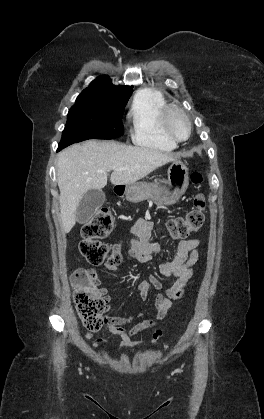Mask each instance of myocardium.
<instances>
[{"mask_svg":"<svg viewBox=\"0 0 264 419\" xmlns=\"http://www.w3.org/2000/svg\"><path fill=\"white\" fill-rule=\"evenodd\" d=\"M173 114L179 115L185 121V123L187 125V128H188V133H187V136L185 138H182V139L178 138L172 132V130L170 128V125H169V120H170V117ZM160 122H161V129H162V132L164 133V135L169 140H171L172 142H174L176 144L186 141L191 135L192 125H191L190 119L187 116V114L177 105L167 104L162 111Z\"/></svg>","mask_w":264,"mask_h":419,"instance_id":"1","label":"myocardium"}]
</instances>
